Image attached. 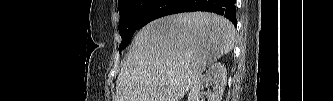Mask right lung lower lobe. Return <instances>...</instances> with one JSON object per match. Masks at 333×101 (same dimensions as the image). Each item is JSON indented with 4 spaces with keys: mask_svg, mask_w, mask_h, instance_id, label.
<instances>
[{
    "mask_svg": "<svg viewBox=\"0 0 333 101\" xmlns=\"http://www.w3.org/2000/svg\"><path fill=\"white\" fill-rule=\"evenodd\" d=\"M193 11L214 12L237 24L235 0H155L143 16L140 28L166 15Z\"/></svg>",
    "mask_w": 333,
    "mask_h": 101,
    "instance_id": "98d812e1",
    "label": "right lung lower lobe"
}]
</instances>
